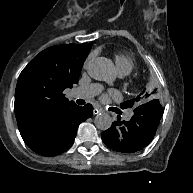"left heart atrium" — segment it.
Here are the masks:
<instances>
[{"instance_id":"1","label":"left heart atrium","mask_w":193,"mask_h":193,"mask_svg":"<svg viewBox=\"0 0 193 193\" xmlns=\"http://www.w3.org/2000/svg\"><path fill=\"white\" fill-rule=\"evenodd\" d=\"M110 95L114 96L115 95V92L114 91H109L108 92Z\"/></svg>"}]
</instances>
